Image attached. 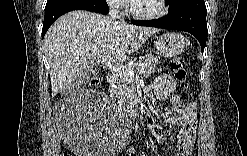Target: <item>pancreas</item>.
Segmentation results:
<instances>
[{"instance_id": "obj_1", "label": "pancreas", "mask_w": 247, "mask_h": 156, "mask_svg": "<svg viewBox=\"0 0 247 156\" xmlns=\"http://www.w3.org/2000/svg\"><path fill=\"white\" fill-rule=\"evenodd\" d=\"M158 59L154 55L147 54L141 58L136 65H128L133 70L136 68L145 78L149 77L156 69L158 65ZM110 89L116 94L120 95L127 101H130L132 91L134 90V78L127 75H120L118 73L112 74Z\"/></svg>"}]
</instances>
